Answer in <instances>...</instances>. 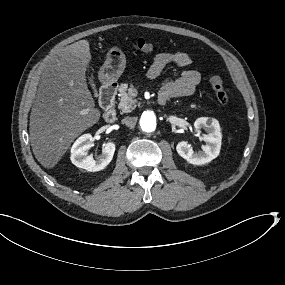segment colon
Instances as JSON below:
<instances>
[{
	"mask_svg": "<svg viewBox=\"0 0 285 285\" xmlns=\"http://www.w3.org/2000/svg\"><path fill=\"white\" fill-rule=\"evenodd\" d=\"M135 46L138 50L145 53H150L154 50V44L151 41H148L144 38H138L135 41ZM209 81L217 101L222 105L227 104L229 102L230 97L223 79L220 76L212 75L209 78Z\"/></svg>",
	"mask_w": 285,
	"mask_h": 285,
	"instance_id": "1",
	"label": "colon"
}]
</instances>
